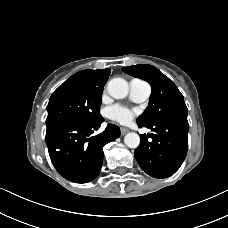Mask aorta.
<instances>
[{"instance_id": "aorta-1", "label": "aorta", "mask_w": 228, "mask_h": 228, "mask_svg": "<svg viewBox=\"0 0 228 228\" xmlns=\"http://www.w3.org/2000/svg\"><path fill=\"white\" fill-rule=\"evenodd\" d=\"M129 86L127 81L122 78H113L107 84L108 94L115 99H123L127 96ZM124 143L129 148H137L140 144V136L130 132L124 137Z\"/></svg>"}]
</instances>
